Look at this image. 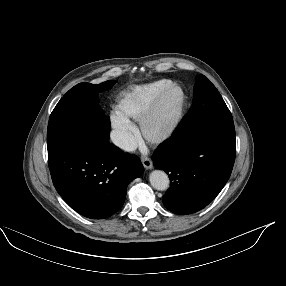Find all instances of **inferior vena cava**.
<instances>
[{"label":"inferior vena cava","instance_id":"1","mask_svg":"<svg viewBox=\"0 0 286 286\" xmlns=\"http://www.w3.org/2000/svg\"><path fill=\"white\" fill-rule=\"evenodd\" d=\"M111 140L116 146L126 151H132L136 147L133 136L126 131H120V130L112 131Z\"/></svg>","mask_w":286,"mask_h":286}]
</instances>
